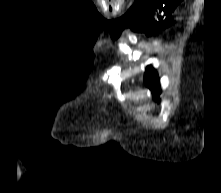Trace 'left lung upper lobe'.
Returning <instances> with one entry per match:
<instances>
[{"label": "left lung upper lobe", "instance_id": "obj_1", "mask_svg": "<svg viewBox=\"0 0 221 193\" xmlns=\"http://www.w3.org/2000/svg\"><path fill=\"white\" fill-rule=\"evenodd\" d=\"M146 86L152 89L153 97L157 101L159 99V79L156 71L152 67H148L144 76Z\"/></svg>", "mask_w": 221, "mask_h": 193}]
</instances>
